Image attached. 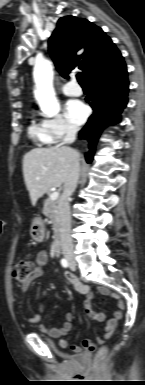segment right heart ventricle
<instances>
[{
	"instance_id": "e07e8e85",
	"label": "right heart ventricle",
	"mask_w": 145,
	"mask_h": 385,
	"mask_svg": "<svg viewBox=\"0 0 145 385\" xmlns=\"http://www.w3.org/2000/svg\"><path fill=\"white\" fill-rule=\"evenodd\" d=\"M28 134L35 142L48 144V136L43 123H37L35 120H32L28 126Z\"/></svg>"
}]
</instances>
